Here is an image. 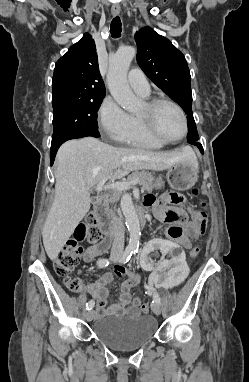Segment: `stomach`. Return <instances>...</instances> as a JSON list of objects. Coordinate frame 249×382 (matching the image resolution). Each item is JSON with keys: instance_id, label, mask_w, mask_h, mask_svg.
<instances>
[{"instance_id": "obj_1", "label": "stomach", "mask_w": 249, "mask_h": 382, "mask_svg": "<svg viewBox=\"0 0 249 382\" xmlns=\"http://www.w3.org/2000/svg\"><path fill=\"white\" fill-rule=\"evenodd\" d=\"M167 182L171 188L184 191L195 185L198 179V162L185 161L180 162L169 168ZM157 188H161L163 181L161 179L156 182Z\"/></svg>"}]
</instances>
